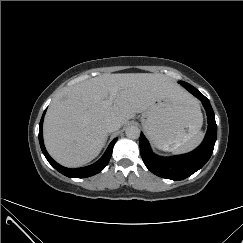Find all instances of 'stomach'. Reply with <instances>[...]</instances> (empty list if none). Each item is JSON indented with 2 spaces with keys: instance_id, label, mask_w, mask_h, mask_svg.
Instances as JSON below:
<instances>
[{
  "instance_id": "0dacf381",
  "label": "stomach",
  "mask_w": 243,
  "mask_h": 243,
  "mask_svg": "<svg viewBox=\"0 0 243 243\" xmlns=\"http://www.w3.org/2000/svg\"><path fill=\"white\" fill-rule=\"evenodd\" d=\"M144 130L161 150H171L192 138L201 128L202 114L193 98L177 102L160 99L141 118Z\"/></svg>"
}]
</instances>
